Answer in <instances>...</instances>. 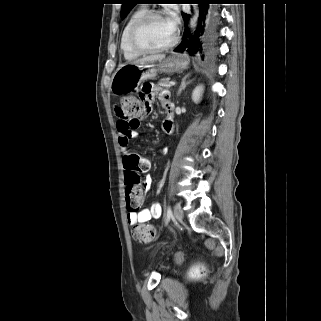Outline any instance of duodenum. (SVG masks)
I'll return each instance as SVG.
<instances>
[{"mask_svg": "<svg viewBox=\"0 0 321 321\" xmlns=\"http://www.w3.org/2000/svg\"><path fill=\"white\" fill-rule=\"evenodd\" d=\"M170 118H173V115H172V114H170Z\"/></svg>", "mask_w": 321, "mask_h": 321, "instance_id": "1", "label": "duodenum"}]
</instances>
